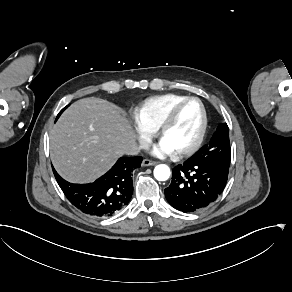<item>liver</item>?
Wrapping results in <instances>:
<instances>
[{
    "mask_svg": "<svg viewBox=\"0 0 292 292\" xmlns=\"http://www.w3.org/2000/svg\"><path fill=\"white\" fill-rule=\"evenodd\" d=\"M51 155L58 172L71 182H89L135 145L125 114L99 98L82 99L50 129Z\"/></svg>",
    "mask_w": 292,
    "mask_h": 292,
    "instance_id": "1",
    "label": "liver"
}]
</instances>
